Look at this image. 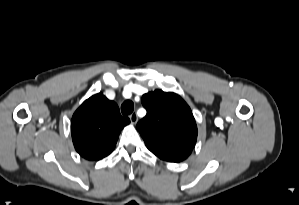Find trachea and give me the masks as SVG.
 Listing matches in <instances>:
<instances>
[{"label":"trachea","instance_id":"obj_1","mask_svg":"<svg viewBox=\"0 0 299 205\" xmlns=\"http://www.w3.org/2000/svg\"><path fill=\"white\" fill-rule=\"evenodd\" d=\"M134 110V104L132 101L127 100L121 105V112L123 115H129Z\"/></svg>","mask_w":299,"mask_h":205}]
</instances>
